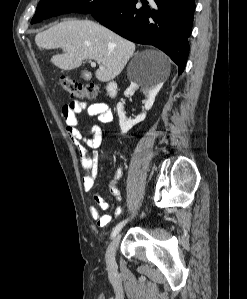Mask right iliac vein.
Returning <instances> with one entry per match:
<instances>
[{"label":"right iliac vein","instance_id":"63e3f726","mask_svg":"<svg viewBox=\"0 0 247 299\" xmlns=\"http://www.w3.org/2000/svg\"><path fill=\"white\" fill-rule=\"evenodd\" d=\"M120 240H121V234H118L117 236L114 237V239L112 240V242L109 244L107 248L106 261L111 271H113L115 267V254L118 245L120 243Z\"/></svg>","mask_w":247,"mask_h":299}]
</instances>
